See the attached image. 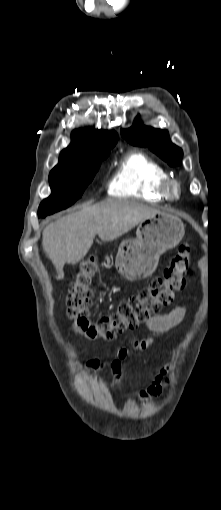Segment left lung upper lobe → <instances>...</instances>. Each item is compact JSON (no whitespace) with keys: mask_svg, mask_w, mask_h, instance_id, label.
<instances>
[{"mask_svg":"<svg viewBox=\"0 0 221 510\" xmlns=\"http://www.w3.org/2000/svg\"><path fill=\"white\" fill-rule=\"evenodd\" d=\"M121 135L132 145L148 147L171 166L182 163L183 152L171 143L167 131L144 126L136 119L131 128L121 131Z\"/></svg>","mask_w":221,"mask_h":510,"instance_id":"left-lung-upper-lobe-1","label":"left lung upper lobe"}]
</instances>
